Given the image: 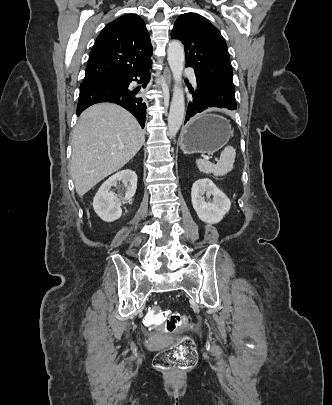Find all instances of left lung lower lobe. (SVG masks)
Masks as SVG:
<instances>
[{
    "instance_id": "left-lung-lower-lobe-1",
    "label": "left lung lower lobe",
    "mask_w": 332,
    "mask_h": 405,
    "mask_svg": "<svg viewBox=\"0 0 332 405\" xmlns=\"http://www.w3.org/2000/svg\"><path fill=\"white\" fill-rule=\"evenodd\" d=\"M190 92L192 94V100L187 107L185 123L195 114L203 112L207 108L215 107L209 103L204 93L198 92L197 90L194 91L193 89H191Z\"/></svg>"
}]
</instances>
